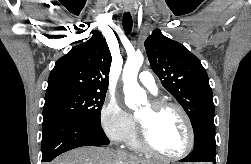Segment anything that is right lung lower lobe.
I'll return each instance as SVG.
<instances>
[{
  "label": "right lung lower lobe",
  "instance_id": "98d812e1",
  "mask_svg": "<svg viewBox=\"0 0 251 164\" xmlns=\"http://www.w3.org/2000/svg\"><path fill=\"white\" fill-rule=\"evenodd\" d=\"M42 133V162L74 148L109 144L100 124L87 121L52 118L43 121Z\"/></svg>",
  "mask_w": 251,
  "mask_h": 164
}]
</instances>
